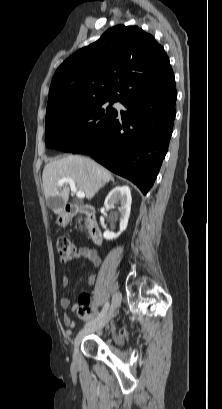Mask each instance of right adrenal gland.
Masks as SVG:
<instances>
[{
  "label": "right adrenal gland",
  "mask_w": 222,
  "mask_h": 409,
  "mask_svg": "<svg viewBox=\"0 0 222 409\" xmlns=\"http://www.w3.org/2000/svg\"><path fill=\"white\" fill-rule=\"evenodd\" d=\"M112 182H114V179H112ZM105 185H106V184H103V186H102V187H104ZM102 187H101V188H102Z\"/></svg>",
  "instance_id": "1"
}]
</instances>
